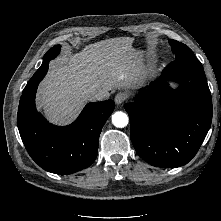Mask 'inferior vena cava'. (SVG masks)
<instances>
[{"label": "inferior vena cava", "mask_w": 221, "mask_h": 221, "mask_svg": "<svg viewBox=\"0 0 221 221\" xmlns=\"http://www.w3.org/2000/svg\"><path fill=\"white\" fill-rule=\"evenodd\" d=\"M109 97V92L104 89H98L89 94V98L93 101H103Z\"/></svg>", "instance_id": "1"}]
</instances>
